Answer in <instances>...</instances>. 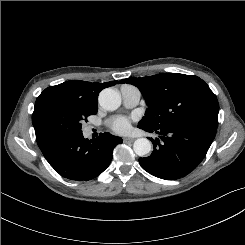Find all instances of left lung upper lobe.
I'll list each match as a JSON object with an SVG mask.
<instances>
[{
  "label": "left lung upper lobe",
  "instance_id": "1",
  "mask_svg": "<svg viewBox=\"0 0 245 245\" xmlns=\"http://www.w3.org/2000/svg\"><path fill=\"white\" fill-rule=\"evenodd\" d=\"M139 88L148 109L139 122L143 129H160L185 121H198L217 128L219 104L216 95L199 77L162 73L143 78H127Z\"/></svg>",
  "mask_w": 245,
  "mask_h": 245
}]
</instances>
